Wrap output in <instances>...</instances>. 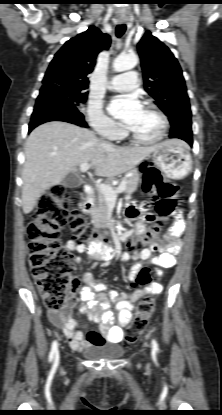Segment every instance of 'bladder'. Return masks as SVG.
Returning a JSON list of instances; mask_svg holds the SVG:
<instances>
[{
  "label": "bladder",
  "mask_w": 222,
  "mask_h": 415,
  "mask_svg": "<svg viewBox=\"0 0 222 415\" xmlns=\"http://www.w3.org/2000/svg\"><path fill=\"white\" fill-rule=\"evenodd\" d=\"M125 354V350L117 345H102L89 347L84 355L89 359H117Z\"/></svg>",
  "instance_id": "1"
}]
</instances>
